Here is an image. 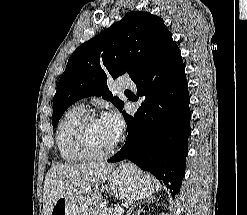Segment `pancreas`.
<instances>
[{
    "label": "pancreas",
    "instance_id": "cf45deb5",
    "mask_svg": "<svg viewBox=\"0 0 247 215\" xmlns=\"http://www.w3.org/2000/svg\"><path fill=\"white\" fill-rule=\"evenodd\" d=\"M91 215H118L113 208L107 207L106 203H99L94 206Z\"/></svg>",
    "mask_w": 247,
    "mask_h": 215
}]
</instances>
